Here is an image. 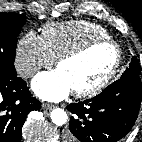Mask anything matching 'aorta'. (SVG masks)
Wrapping results in <instances>:
<instances>
[{"label": "aorta", "mask_w": 142, "mask_h": 142, "mask_svg": "<svg viewBox=\"0 0 142 142\" xmlns=\"http://www.w3.org/2000/svg\"><path fill=\"white\" fill-rule=\"evenodd\" d=\"M50 117L52 122L57 126L64 125L67 122V114L63 109L60 108L53 109Z\"/></svg>", "instance_id": "762f6f07"}]
</instances>
